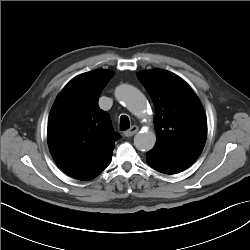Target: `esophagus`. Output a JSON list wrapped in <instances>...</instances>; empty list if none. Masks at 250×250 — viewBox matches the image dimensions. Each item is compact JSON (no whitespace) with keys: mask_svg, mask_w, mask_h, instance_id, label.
Returning <instances> with one entry per match:
<instances>
[{"mask_svg":"<svg viewBox=\"0 0 250 250\" xmlns=\"http://www.w3.org/2000/svg\"><path fill=\"white\" fill-rule=\"evenodd\" d=\"M138 130H139L138 126L133 125L131 128H129L128 130H126V131L124 132V135H125L126 137H131V136H133L134 134H136Z\"/></svg>","mask_w":250,"mask_h":250,"instance_id":"34e87169","label":"esophagus"}]
</instances>
